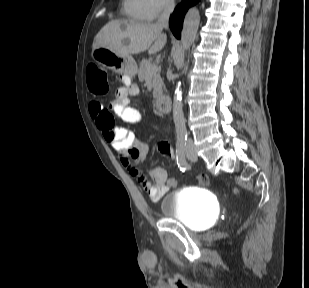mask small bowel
I'll return each mask as SVG.
<instances>
[{
  "label": "small bowel",
  "mask_w": 309,
  "mask_h": 288,
  "mask_svg": "<svg viewBox=\"0 0 309 288\" xmlns=\"http://www.w3.org/2000/svg\"><path fill=\"white\" fill-rule=\"evenodd\" d=\"M138 91L136 84L125 82L117 89L115 99L109 108H105L98 101H92L89 110L104 141L119 154L122 166L139 183L148 198L157 202L172 187L167 180L166 171L160 167H153L151 169L153 181L148 180L137 166L138 162L147 157V143L138 139L131 130L114 126L113 114L130 124L142 120L141 113L129 105L131 97L136 96ZM158 150L164 157L175 160V152L170 143L160 142Z\"/></svg>",
  "instance_id": "c3829d8e"
}]
</instances>
